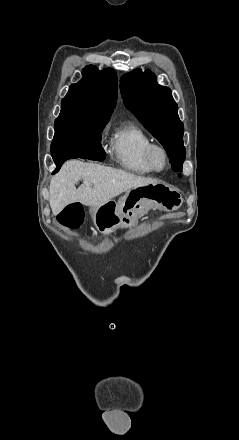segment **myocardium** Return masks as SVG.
Returning a JSON list of instances; mask_svg holds the SVG:
<instances>
[{
    "label": "myocardium",
    "instance_id": "myocardium-1",
    "mask_svg": "<svg viewBox=\"0 0 239 440\" xmlns=\"http://www.w3.org/2000/svg\"><path fill=\"white\" fill-rule=\"evenodd\" d=\"M158 155L162 156L164 162V165L161 168L157 164ZM146 158L151 169L157 173L164 172L169 165V154L166 148L159 143H151L149 145L146 151Z\"/></svg>",
    "mask_w": 239,
    "mask_h": 440
}]
</instances>
